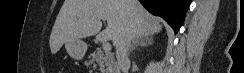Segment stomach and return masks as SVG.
<instances>
[{
	"label": "stomach",
	"mask_w": 244,
	"mask_h": 73,
	"mask_svg": "<svg viewBox=\"0 0 244 73\" xmlns=\"http://www.w3.org/2000/svg\"><path fill=\"white\" fill-rule=\"evenodd\" d=\"M68 54L76 60H80L85 56L87 45L80 39L70 40L65 43Z\"/></svg>",
	"instance_id": "obj_1"
}]
</instances>
